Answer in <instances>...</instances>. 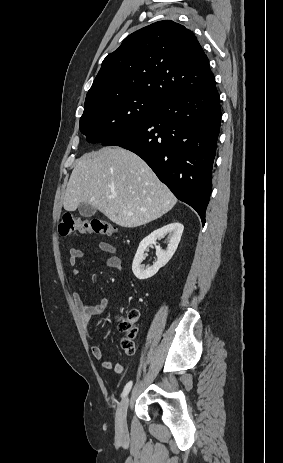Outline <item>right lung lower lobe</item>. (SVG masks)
<instances>
[{
  "label": "right lung lower lobe",
  "instance_id": "1",
  "mask_svg": "<svg viewBox=\"0 0 283 463\" xmlns=\"http://www.w3.org/2000/svg\"><path fill=\"white\" fill-rule=\"evenodd\" d=\"M221 122L220 98L210 88L160 101L144 121L102 143L140 156L205 223L211 173Z\"/></svg>",
  "mask_w": 283,
  "mask_h": 463
}]
</instances>
